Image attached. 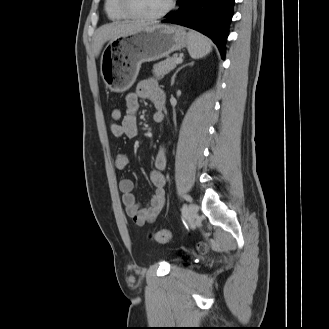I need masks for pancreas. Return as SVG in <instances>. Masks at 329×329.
Masks as SVG:
<instances>
[{
  "label": "pancreas",
  "instance_id": "obj_1",
  "mask_svg": "<svg viewBox=\"0 0 329 329\" xmlns=\"http://www.w3.org/2000/svg\"><path fill=\"white\" fill-rule=\"evenodd\" d=\"M177 57H169L153 66V74L157 79H161L164 75L168 74L171 70H173L177 63Z\"/></svg>",
  "mask_w": 329,
  "mask_h": 329
}]
</instances>
